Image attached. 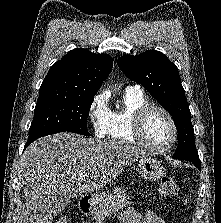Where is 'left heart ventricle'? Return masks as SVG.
Here are the masks:
<instances>
[{
	"label": "left heart ventricle",
	"instance_id": "left-heart-ventricle-1",
	"mask_svg": "<svg viewBox=\"0 0 221 223\" xmlns=\"http://www.w3.org/2000/svg\"><path fill=\"white\" fill-rule=\"evenodd\" d=\"M145 137L157 146H165L170 143L173 131L168 118L160 111H153L145 123Z\"/></svg>",
	"mask_w": 221,
	"mask_h": 223
}]
</instances>
